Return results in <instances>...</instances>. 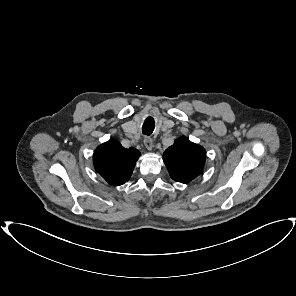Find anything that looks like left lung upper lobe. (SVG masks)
I'll return each mask as SVG.
<instances>
[{
	"label": "left lung upper lobe",
	"mask_w": 296,
	"mask_h": 296,
	"mask_svg": "<svg viewBox=\"0 0 296 296\" xmlns=\"http://www.w3.org/2000/svg\"><path fill=\"white\" fill-rule=\"evenodd\" d=\"M205 159V149L185 136L176 139L163 154V160L171 178L184 184L202 173Z\"/></svg>",
	"instance_id": "1"
}]
</instances>
